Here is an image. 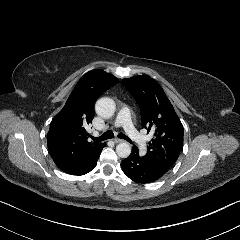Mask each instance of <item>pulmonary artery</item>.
I'll return each mask as SVG.
<instances>
[{"label": "pulmonary artery", "mask_w": 240, "mask_h": 240, "mask_svg": "<svg viewBox=\"0 0 240 240\" xmlns=\"http://www.w3.org/2000/svg\"><path fill=\"white\" fill-rule=\"evenodd\" d=\"M130 112L128 109H123L121 113L118 115L116 119L117 125H122L124 127V131L133 139L136 141V144L139 149H144L146 144L145 142L148 140L147 134H141L137 132L132 120L130 119Z\"/></svg>", "instance_id": "obj_1"}]
</instances>
